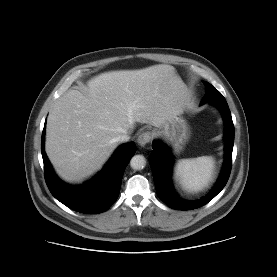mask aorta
<instances>
[{
  "label": "aorta",
  "mask_w": 277,
  "mask_h": 277,
  "mask_svg": "<svg viewBox=\"0 0 277 277\" xmlns=\"http://www.w3.org/2000/svg\"><path fill=\"white\" fill-rule=\"evenodd\" d=\"M130 166L134 170H141L146 166V159L143 155H135L130 160Z\"/></svg>",
  "instance_id": "1"
}]
</instances>
